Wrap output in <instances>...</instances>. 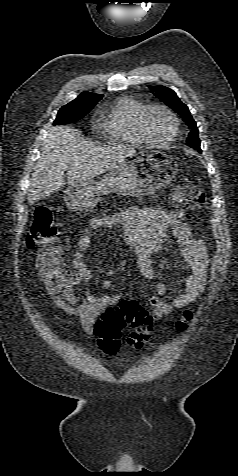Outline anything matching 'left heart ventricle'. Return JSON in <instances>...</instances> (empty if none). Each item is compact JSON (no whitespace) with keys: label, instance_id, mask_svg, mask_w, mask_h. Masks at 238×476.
I'll list each match as a JSON object with an SVG mask.
<instances>
[{"label":"left heart ventricle","instance_id":"1","mask_svg":"<svg viewBox=\"0 0 238 476\" xmlns=\"http://www.w3.org/2000/svg\"><path fill=\"white\" fill-rule=\"evenodd\" d=\"M147 128L150 134L158 140L169 139L174 131L172 120L160 109H154L149 113Z\"/></svg>","mask_w":238,"mask_h":476}]
</instances>
